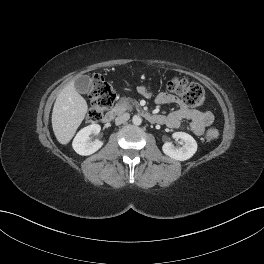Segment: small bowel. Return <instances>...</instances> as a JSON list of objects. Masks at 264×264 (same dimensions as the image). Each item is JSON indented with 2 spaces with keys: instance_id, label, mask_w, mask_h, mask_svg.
<instances>
[{
  "instance_id": "c3829d8e",
  "label": "small bowel",
  "mask_w": 264,
  "mask_h": 264,
  "mask_svg": "<svg viewBox=\"0 0 264 264\" xmlns=\"http://www.w3.org/2000/svg\"><path fill=\"white\" fill-rule=\"evenodd\" d=\"M138 92L145 97L151 95V91L146 86L138 87ZM155 102L158 105L175 104L178 106L177 110L168 115H161L164 118L162 124L170 128L186 126L193 134L200 136L204 133L205 128L214 121V116L211 111L207 109L198 110L191 108L184 104L178 96L172 93H159L155 98ZM184 121H187V123L184 124Z\"/></svg>"
}]
</instances>
